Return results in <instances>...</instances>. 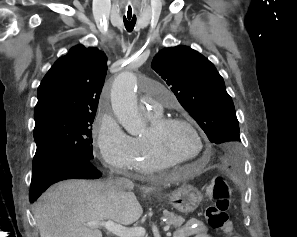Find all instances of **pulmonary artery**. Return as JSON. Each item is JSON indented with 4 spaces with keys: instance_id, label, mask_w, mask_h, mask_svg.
<instances>
[{
    "instance_id": "1",
    "label": "pulmonary artery",
    "mask_w": 297,
    "mask_h": 237,
    "mask_svg": "<svg viewBox=\"0 0 297 237\" xmlns=\"http://www.w3.org/2000/svg\"><path fill=\"white\" fill-rule=\"evenodd\" d=\"M146 96L142 102V109L150 115L158 113L161 108L172 107L175 104V99L171 93L148 86L145 89ZM166 94L167 96H164Z\"/></svg>"
}]
</instances>
